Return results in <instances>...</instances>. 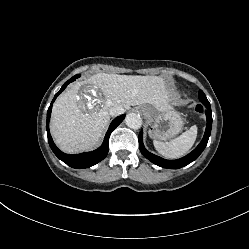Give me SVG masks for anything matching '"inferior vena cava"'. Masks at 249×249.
Returning a JSON list of instances; mask_svg holds the SVG:
<instances>
[{"label":"inferior vena cava","instance_id":"inferior-vena-cava-1","mask_svg":"<svg viewBox=\"0 0 249 249\" xmlns=\"http://www.w3.org/2000/svg\"><path fill=\"white\" fill-rule=\"evenodd\" d=\"M124 112H125V109L120 105L113 106L109 109L110 116H118V115L123 114Z\"/></svg>","mask_w":249,"mask_h":249}]
</instances>
